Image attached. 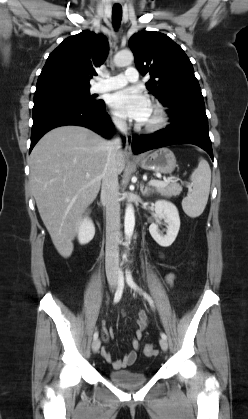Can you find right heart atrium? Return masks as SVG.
Masks as SVG:
<instances>
[{
  "label": "right heart atrium",
  "instance_id": "d8ad5b80",
  "mask_svg": "<svg viewBox=\"0 0 248 419\" xmlns=\"http://www.w3.org/2000/svg\"><path fill=\"white\" fill-rule=\"evenodd\" d=\"M111 120L116 127L124 128V126H125L124 121L120 117H118L117 115H112Z\"/></svg>",
  "mask_w": 248,
  "mask_h": 419
}]
</instances>
